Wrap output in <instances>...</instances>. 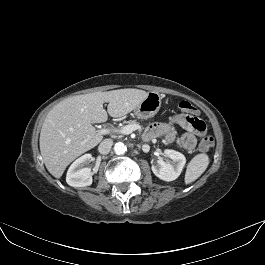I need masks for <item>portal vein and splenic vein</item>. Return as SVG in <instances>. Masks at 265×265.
Listing matches in <instances>:
<instances>
[{
	"instance_id": "portal-vein-and-splenic-vein-1",
	"label": "portal vein and splenic vein",
	"mask_w": 265,
	"mask_h": 265,
	"mask_svg": "<svg viewBox=\"0 0 265 265\" xmlns=\"http://www.w3.org/2000/svg\"><path fill=\"white\" fill-rule=\"evenodd\" d=\"M135 130H136L135 125H126V126L122 127L121 129L104 128V129L98 130V133L100 135H106V134H109L111 132H114V133H121L124 135H128V134H131Z\"/></svg>"
}]
</instances>
